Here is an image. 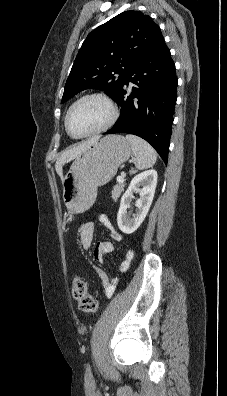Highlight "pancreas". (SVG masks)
<instances>
[{
	"instance_id": "pancreas-1",
	"label": "pancreas",
	"mask_w": 227,
	"mask_h": 396,
	"mask_svg": "<svg viewBox=\"0 0 227 396\" xmlns=\"http://www.w3.org/2000/svg\"><path fill=\"white\" fill-rule=\"evenodd\" d=\"M124 187H125L124 181L114 186L112 190V199L114 201H116L120 197V194L124 190Z\"/></svg>"
}]
</instances>
